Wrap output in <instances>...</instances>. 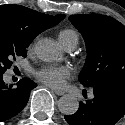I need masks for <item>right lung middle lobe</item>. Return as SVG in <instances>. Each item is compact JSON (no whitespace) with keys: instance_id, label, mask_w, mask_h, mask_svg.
<instances>
[{"instance_id":"1","label":"right lung middle lobe","mask_w":125,"mask_h":125,"mask_svg":"<svg viewBox=\"0 0 125 125\" xmlns=\"http://www.w3.org/2000/svg\"><path fill=\"white\" fill-rule=\"evenodd\" d=\"M27 46H17L8 42L0 41V74L12 65L11 60H16L17 56H26Z\"/></svg>"}]
</instances>
